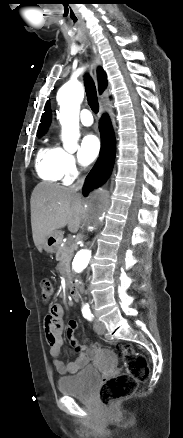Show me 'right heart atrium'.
I'll list each match as a JSON object with an SVG mask.
<instances>
[{
  "mask_svg": "<svg viewBox=\"0 0 183 438\" xmlns=\"http://www.w3.org/2000/svg\"><path fill=\"white\" fill-rule=\"evenodd\" d=\"M60 150L59 166L66 180H71L78 175L80 169L79 157L64 149Z\"/></svg>",
  "mask_w": 183,
  "mask_h": 438,
  "instance_id": "d8ad5b80",
  "label": "right heart atrium"
}]
</instances>
